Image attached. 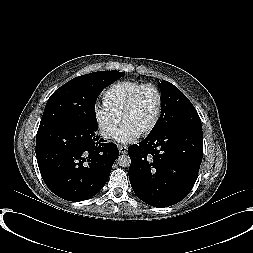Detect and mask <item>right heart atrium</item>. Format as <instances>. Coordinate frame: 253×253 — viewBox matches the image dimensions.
<instances>
[{"label":"right heart atrium","instance_id":"d8ad5b80","mask_svg":"<svg viewBox=\"0 0 253 253\" xmlns=\"http://www.w3.org/2000/svg\"><path fill=\"white\" fill-rule=\"evenodd\" d=\"M98 131L103 138H110L116 131L120 116L113 113L103 103H97L93 110Z\"/></svg>","mask_w":253,"mask_h":253}]
</instances>
